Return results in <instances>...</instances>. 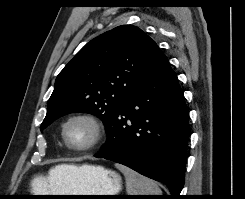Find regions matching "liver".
I'll use <instances>...</instances> for the list:
<instances>
[{
    "mask_svg": "<svg viewBox=\"0 0 245 199\" xmlns=\"http://www.w3.org/2000/svg\"><path fill=\"white\" fill-rule=\"evenodd\" d=\"M77 169L75 165H58L49 171L47 178L40 177L37 182H40L44 186V190H49V193H55L56 190L61 189V184L57 185L54 183L55 180H66L70 178Z\"/></svg>",
    "mask_w": 245,
    "mask_h": 199,
    "instance_id": "6515ba94",
    "label": "liver"
}]
</instances>
